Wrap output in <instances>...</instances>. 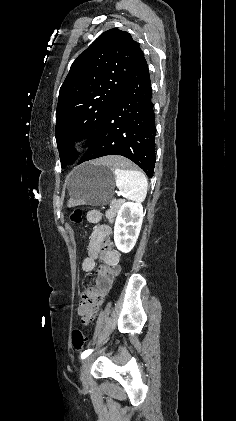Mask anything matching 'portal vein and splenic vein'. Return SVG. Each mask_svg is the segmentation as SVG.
Returning <instances> with one entry per match:
<instances>
[{
    "label": "portal vein and splenic vein",
    "instance_id": "18ae733b",
    "mask_svg": "<svg viewBox=\"0 0 236 421\" xmlns=\"http://www.w3.org/2000/svg\"><path fill=\"white\" fill-rule=\"evenodd\" d=\"M116 197H117V198H120V197H121V193H120V192H119V193H117V194H116Z\"/></svg>",
    "mask_w": 236,
    "mask_h": 421
}]
</instances>
